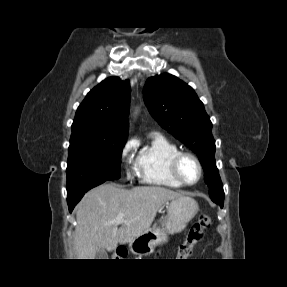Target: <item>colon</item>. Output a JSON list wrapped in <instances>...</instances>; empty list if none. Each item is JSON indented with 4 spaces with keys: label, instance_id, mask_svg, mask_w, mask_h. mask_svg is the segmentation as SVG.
Returning <instances> with one entry per match:
<instances>
[{
    "label": "colon",
    "instance_id": "colon-1",
    "mask_svg": "<svg viewBox=\"0 0 287 287\" xmlns=\"http://www.w3.org/2000/svg\"><path fill=\"white\" fill-rule=\"evenodd\" d=\"M210 226V217L205 213L199 214L186 239L178 247L177 256L179 259L186 260L192 255L194 247L203 239L205 231ZM116 254L117 256H124L125 250L120 247Z\"/></svg>",
    "mask_w": 287,
    "mask_h": 287
}]
</instances>
